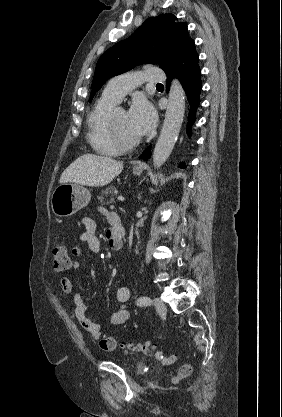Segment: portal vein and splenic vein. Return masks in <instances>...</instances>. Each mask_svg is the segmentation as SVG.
Instances as JSON below:
<instances>
[{"label":"portal vein and splenic vein","instance_id":"obj_1","mask_svg":"<svg viewBox=\"0 0 282 417\" xmlns=\"http://www.w3.org/2000/svg\"><path fill=\"white\" fill-rule=\"evenodd\" d=\"M118 200H120L121 203L125 202L124 196L123 195H119L118 196Z\"/></svg>","mask_w":282,"mask_h":417}]
</instances>
